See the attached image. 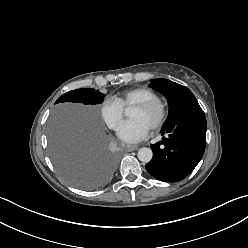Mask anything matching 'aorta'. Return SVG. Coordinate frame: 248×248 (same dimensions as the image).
I'll return each instance as SVG.
<instances>
[{"label":"aorta","instance_id":"obj_1","mask_svg":"<svg viewBox=\"0 0 248 248\" xmlns=\"http://www.w3.org/2000/svg\"><path fill=\"white\" fill-rule=\"evenodd\" d=\"M137 156L141 162L148 163L151 161V159L153 157V153H152V150L150 148L143 147V148H140L138 150Z\"/></svg>","mask_w":248,"mask_h":248}]
</instances>
